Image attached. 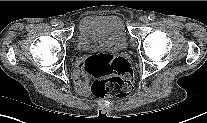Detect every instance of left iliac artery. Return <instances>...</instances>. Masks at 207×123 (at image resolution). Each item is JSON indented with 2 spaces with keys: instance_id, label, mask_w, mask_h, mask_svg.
<instances>
[{
  "instance_id": "44dca946",
  "label": "left iliac artery",
  "mask_w": 207,
  "mask_h": 123,
  "mask_svg": "<svg viewBox=\"0 0 207 123\" xmlns=\"http://www.w3.org/2000/svg\"><path fill=\"white\" fill-rule=\"evenodd\" d=\"M155 18H156V16H155L154 14H150V15L148 16V19H149L150 21H154Z\"/></svg>"
}]
</instances>
